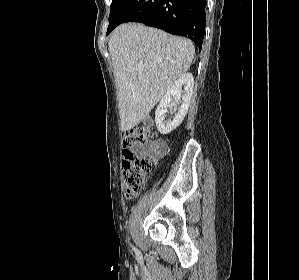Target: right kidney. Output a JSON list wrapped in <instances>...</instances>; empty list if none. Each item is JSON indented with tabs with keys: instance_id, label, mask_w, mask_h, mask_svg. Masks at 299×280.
<instances>
[{
	"instance_id": "ca27d5eb",
	"label": "right kidney",
	"mask_w": 299,
	"mask_h": 280,
	"mask_svg": "<svg viewBox=\"0 0 299 280\" xmlns=\"http://www.w3.org/2000/svg\"><path fill=\"white\" fill-rule=\"evenodd\" d=\"M183 87L184 91L182 90ZM193 87L194 78L192 73H184L162 97L155 111L156 127L161 134L170 133L182 123L190 106ZM177 105L179 107L176 112ZM168 107H171L175 112L172 121H165V114Z\"/></svg>"
}]
</instances>
